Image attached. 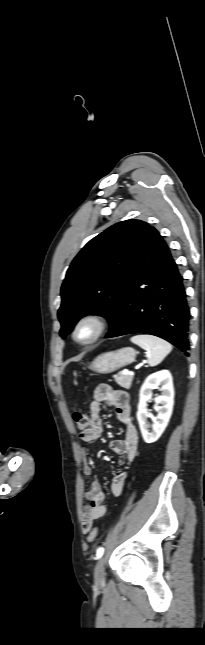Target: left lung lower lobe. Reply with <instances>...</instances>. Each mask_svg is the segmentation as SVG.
I'll list each match as a JSON object with an SVG mask.
<instances>
[{"instance_id": "left-lung-lower-lobe-1", "label": "left lung lower lobe", "mask_w": 205, "mask_h": 645, "mask_svg": "<svg viewBox=\"0 0 205 645\" xmlns=\"http://www.w3.org/2000/svg\"><path fill=\"white\" fill-rule=\"evenodd\" d=\"M189 320L183 278L166 242L150 226L128 275L118 327L106 338L151 334L188 356Z\"/></svg>"}]
</instances>
